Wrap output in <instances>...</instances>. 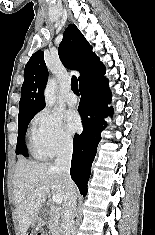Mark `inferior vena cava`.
I'll return each instance as SVG.
<instances>
[{
	"instance_id": "602c4592",
	"label": "inferior vena cava",
	"mask_w": 155,
	"mask_h": 235,
	"mask_svg": "<svg viewBox=\"0 0 155 235\" xmlns=\"http://www.w3.org/2000/svg\"><path fill=\"white\" fill-rule=\"evenodd\" d=\"M72 140L65 139L62 141L58 156L55 159V167L56 169L62 172L64 185L66 187V197H65V235H75L74 228V216L76 210V188L70 177V167H71V158H72Z\"/></svg>"
}]
</instances>
